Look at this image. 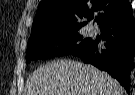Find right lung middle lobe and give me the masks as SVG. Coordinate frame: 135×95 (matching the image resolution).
<instances>
[{"label": "right lung middle lobe", "mask_w": 135, "mask_h": 95, "mask_svg": "<svg viewBox=\"0 0 135 95\" xmlns=\"http://www.w3.org/2000/svg\"><path fill=\"white\" fill-rule=\"evenodd\" d=\"M90 38H83L77 31L63 32H37L30 36L26 63L36 59H47L56 56L70 55L83 48ZM53 43H58L59 48L55 51L50 48Z\"/></svg>", "instance_id": "right-lung-middle-lobe-1"}]
</instances>
